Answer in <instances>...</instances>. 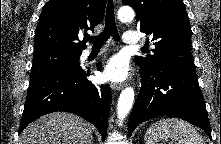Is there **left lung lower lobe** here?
<instances>
[{"label":"left lung lower lobe","instance_id":"left-lung-lower-lobe-1","mask_svg":"<svg viewBox=\"0 0 221 144\" xmlns=\"http://www.w3.org/2000/svg\"><path fill=\"white\" fill-rule=\"evenodd\" d=\"M140 69L142 87L130 114L129 135L144 121L170 115L199 126L212 139L196 73L173 67L140 66Z\"/></svg>","mask_w":221,"mask_h":144}]
</instances>
